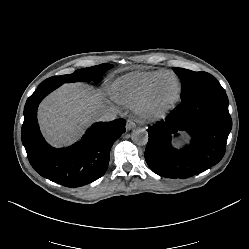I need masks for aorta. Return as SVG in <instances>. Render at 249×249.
Here are the masks:
<instances>
[{
    "label": "aorta",
    "mask_w": 249,
    "mask_h": 249,
    "mask_svg": "<svg viewBox=\"0 0 249 249\" xmlns=\"http://www.w3.org/2000/svg\"><path fill=\"white\" fill-rule=\"evenodd\" d=\"M131 138L135 144L144 146L148 142V132L144 129H135L132 131Z\"/></svg>",
    "instance_id": "762f6f07"
}]
</instances>
